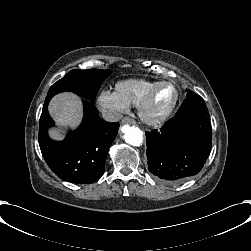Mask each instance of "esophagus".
I'll return each mask as SVG.
<instances>
[{"instance_id": "esophagus-1", "label": "esophagus", "mask_w": 251, "mask_h": 251, "mask_svg": "<svg viewBox=\"0 0 251 251\" xmlns=\"http://www.w3.org/2000/svg\"><path fill=\"white\" fill-rule=\"evenodd\" d=\"M121 124L126 125V124H135V120L132 119L131 117H124L121 121Z\"/></svg>"}]
</instances>
